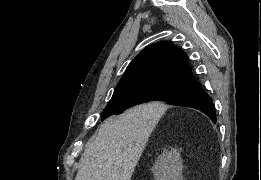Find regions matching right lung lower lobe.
I'll list each match as a JSON object with an SVG mask.
<instances>
[{
    "label": "right lung lower lobe",
    "instance_id": "obj_1",
    "mask_svg": "<svg viewBox=\"0 0 261 180\" xmlns=\"http://www.w3.org/2000/svg\"><path fill=\"white\" fill-rule=\"evenodd\" d=\"M171 105H182L197 109L216 122V113L212 98L202 89L201 92L177 99Z\"/></svg>",
    "mask_w": 261,
    "mask_h": 180
}]
</instances>
